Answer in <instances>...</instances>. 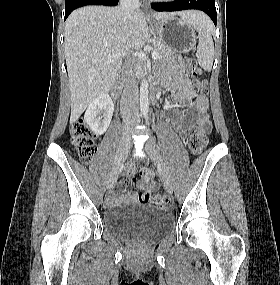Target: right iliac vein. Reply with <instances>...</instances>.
Listing matches in <instances>:
<instances>
[{"mask_svg": "<svg viewBox=\"0 0 280 285\" xmlns=\"http://www.w3.org/2000/svg\"><path fill=\"white\" fill-rule=\"evenodd\" d=\"M129 148H130V138H129L128 134H125L122 136V138L120 140L116 159H115L112 171L110 173L109 183H108V189L109 190L113 189L116 182H117L118 175L120 172V168H121L124 160L126 159Z\"/></svg>", "mask_w": 280, "mask_h": 285, "instance_id": "right-iliac-vein-1", "label": "right iliac vein"}]
</instances>
